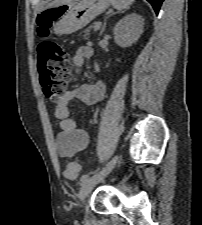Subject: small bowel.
<instances>
[{
	"label": "small bowel",
	"mask_w": 202,
	"mask_h": 225,
	"mask_svg": "<svg viewBox=\"0 0 202 225\" xmlns=\"http://www.w3.org/2000/svg\"><path fill=\"white\" fill-rule=\"evenodd\" d=\"M93 55L92 48L88 45L77 49L72 57V62L80 69L85 60ZM105 94V85L98 82L95 86L87 84L79 85L63 94L54 108V118L60 128L56 138L58 154L62 157H70L85 149L88 144V136L85 130L78 127L77 121L71 117L69 105L78 100L87 105H94L102 99Z\"/></svg>",
	"instance_id": "1"
}]
</instances>
